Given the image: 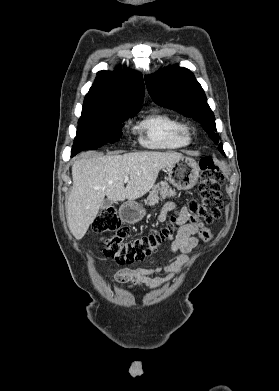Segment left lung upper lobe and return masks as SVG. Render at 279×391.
<instances>
[{
	"label": "left lung upper lobe",
	"mask_w": 279,
	"mask_h": 391,
	"mask_svg": "<svg viewBox=\"0 0 279 391\" xmlns=\"http://www.w3.org/2000/svg\"><path fill=\"white\" fill-rule=\"evenodd\" d=\"M148 92L159 105L191 117L203 125L209 137L217 144L215 117L207 98L193 73L177 65L145 76ZM219 150L223 153L222 144Z\"/></svg>",
	"instance_id": "1"
}]
</instances>
